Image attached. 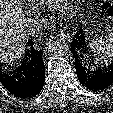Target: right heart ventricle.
I'll return each instance as SVG.
<instances>
[{
  "instance_id": "1",
  "label": "right heart ventricle",
  "mask_w": 113,
  "mask_h": 113,
  "mask_svg": "<svg viewBox=\"0 0 113 113\" xmlns=\"http://www.w3.org/2000/svg\"><path fill=\"white\" fill-rule=\"evenodd\" d=\"M28 1L31 2L37 8L45 9L49 6H52L59 2L67 1V0H28Z\"/></svg>"
}]
</instances>
